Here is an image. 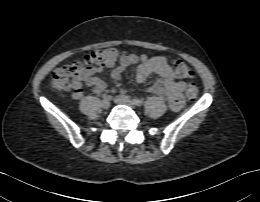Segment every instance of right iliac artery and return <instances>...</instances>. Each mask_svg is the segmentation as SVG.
<instances>
[{"mask_svg": "<svg viewBox=\"0 0 260 202\" xmlns=\"http://www.w3.org/2000/svg\"><path fill=\"white\" fill-rule=\"evenodd\" d=\"M103 98H104V99H110L111 97H110L109 95L104 94V95H103Z\"/></svg>", "mask_w": 260, "mask_h": 202, "instance_id": "obj_1", "label": "right iliac artery"}]
</instances>
